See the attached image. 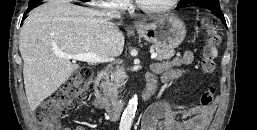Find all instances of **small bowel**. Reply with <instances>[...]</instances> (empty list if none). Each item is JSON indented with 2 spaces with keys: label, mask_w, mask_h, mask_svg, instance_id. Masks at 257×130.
<instances>
[{
  "label": "small bowel",
  "mask_w": 257,
  "mask_h": 130,
  "mask_svg": "<svg viewBox=\"0 0 257 130\" xmlns=\"http://www.w3.org/2000/svg\"><path fill=\"white\" fill-rule=\"evenodd\" d=\"M192 55L186 53L183 58L174 59L159 65L156 70L162 73L165 82L177 79L183 73L179 67L189 64ZM152 80V79H151ZM93 106L97 107L96 102ZM215 111V106H195L185 111H177L167 101H160L151 105L145 112L141 130H205ZM75 130H87L78 126Z\"/></svg>",
  "instance_id": "small-bowel-1"
}]
</instances>
